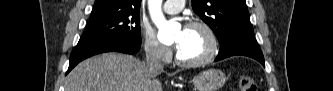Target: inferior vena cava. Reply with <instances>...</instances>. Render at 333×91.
Returning a JSON list of instances; mask_svg holds the SVG:
<instances>
[{
	"label": "inferior vena cava",
	"mask_w": 333,
	"mask_h": 91,
	"mask_svg": "<svg viewBox=\"0 0 333 91\" xmlns=\"http://www.w3.org/2000/svg\"><path fill=\"white\" fill-rule=\"evenodd\" d=\"M146 59V66L151 74L157 75L163 72V60L159 47L149 48Z\"/></svg>",
	"instance_id": "inferior-vena-cava-1"
}]
</instances>
